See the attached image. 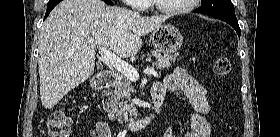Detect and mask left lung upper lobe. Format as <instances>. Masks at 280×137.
Here are the masks:
<instances>
[{"label": "left lung upper lobe", "mask_w": 280, "mask_h": 137, "mask_svg": "<svg viewBox=\"0 0 280 137\" xmlns=\"http://www.w3.org/2000/svg\"><path fill=\"white\" fill-rule=\"evenodd\" d=\"M194 12H201L216 18L237 20L231 0H202L201 7Z\"/></svg>", "instance_id": "obj_1"}]
</instances>
